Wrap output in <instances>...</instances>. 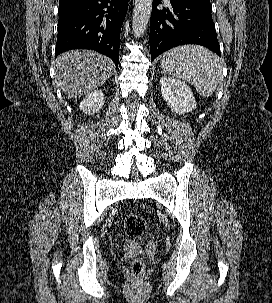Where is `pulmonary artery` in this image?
Returning a JSON list of instances; mask_svg holds the SVG:
<instances>
[{"instance_id":"1","label":"pulmonary artery","mask_w":272,"mask_h":303,"mask_svg":"<svg viewBox=\"0 0 272 303\" xmlns=\"http://www.w3.org/2000/svg\"><path fill=\"white\" fill-rule=\"evenodd\" d=\"M166 3H169L170 0H164Z\"/></svg>"}]
</instances>
